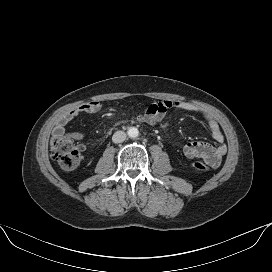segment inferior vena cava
Instances as JSON below:
<instances>
[{
  "instance_id": "1",
  "label": "inferior vena cava",
  "mask_w": 272,
  "mask_h": 272,
  "mask_svg": "<svg viewBox=\"0 0 272 272\" xmlns=\"http://www.w3.org/2000/svg\"><path fill=\"white\" fill-rule=\"evenodd\" d=\"M126 139V133L123 131H117L112 136V141L114 143H121Z\"/></svg>"
}]
</instances>
